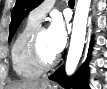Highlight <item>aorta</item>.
Returning a JSON list of instances; mask_svg holds the SVG:
<instances>
[{"label":"aorta","mask_w":107,"mask_h":89,"mask_svg":"<svg viewBox=\"0 0 107 89\" xmlns=\"http://www.w3.org/2000/svg\"><path fill=\"white\" fill-rule=\"evenodd\" d=\"M91 0H78L73 20V29L71 35L70 47L67 55L65 71L67 75H72L79 63L82 55L87 19L89 14Z\"/></svg>","instance_id":"aorta-1"}]
</instances>
